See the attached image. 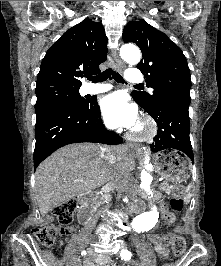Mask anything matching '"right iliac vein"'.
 <instances>
[{
  "instance_id": "63e3f726",
  "label": "right iliac vein",
  "mask_w": 221,
  "mask_h": 266,
  "mask_svg": "<svg viewBox=\"0 0 221 266\" xmlns=\"http://www.w3.org/2000/svg\"><path fill=\"white\" fill-rule=\"evenodd\" d=\"M87 240L89 241L90 239H87ZM85 245H86V242L81 246V249L84 248ZM79 252L80 250L77 253H75V255H73L68 266H78L79 261H80L78 257Z\"/></svg>"
}]
</instances>
